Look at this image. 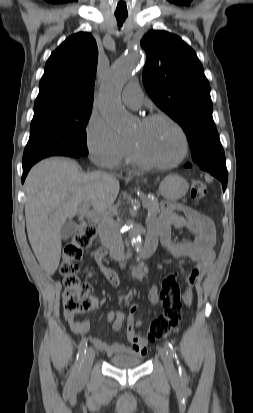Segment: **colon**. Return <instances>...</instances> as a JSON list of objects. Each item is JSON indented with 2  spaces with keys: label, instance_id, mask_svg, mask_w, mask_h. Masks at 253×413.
Instances as JSON below:
<instances>
[{
  "label": "colon",
  "instance_id": "1",
  "mask_svg": "<svg viewBox=\"0 0 253 413\" xmlns=\"http://www.w3.org/2000/svg\"><path fill=\"white\" fill-rule=\"evenodd\" d=\"M190 195L199 200L206 195L204 183L197 179L191 183ZM96 236L93 226H83L63 248L59 273L63 282V304L65 312L71 315L92 311L96 300L90 295V285L81 281L78 263L83 251L89 248ZM160 298L164 308L150 325L148 339L156 341L164 338L174 330L182 318V298L176 273L167 275L162 281Z\"/></svg>",
  "mask_w": 253,
  "mask_h": 413
}]
</instances>
